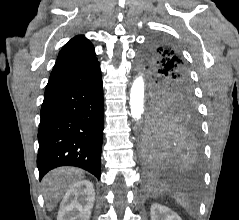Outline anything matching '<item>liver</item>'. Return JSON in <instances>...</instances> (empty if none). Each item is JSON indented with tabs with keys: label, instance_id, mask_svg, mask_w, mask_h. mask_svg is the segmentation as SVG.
Returning a JSON list of instances; mask_svg holds the SVG:
<instances>
[{
	"label": "liver",
	"instance_id": "liver-1",
	"mask_svg": "<svg viewBox=\"0 0 239 220\" xmlns=\"http://www.w3.org/2000/svg\"><path fill=\"white\" fill-rule=\"evenodd\" d=\"M83 178V171L73 167H61L50 171L42 180L48 211H52L65 193Z\"/></svg>",
	"mask_w": 239,
	"mask_h": 220
}]
</instances>
